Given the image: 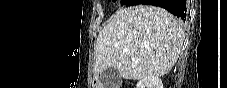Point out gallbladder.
Returning <instances> with one entry per match:
<instances>
[{"label":"gallbladder","mask_w":227,"mask_h":88,"mask_svg":"<svg viewBox=\"0 0 227 88\" xmlns=\"http://www.w3.org/2000/svg\"><path fill=\"white\" fill-rule=\"evenodd\" d=\"M100 81L105 88H117L120 85V73L115 68H107L100 74Z\"/></svg>","instance_id":"1"}]
</instances>
